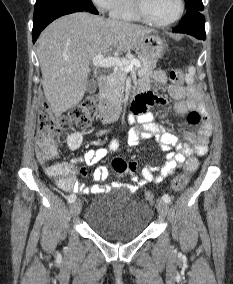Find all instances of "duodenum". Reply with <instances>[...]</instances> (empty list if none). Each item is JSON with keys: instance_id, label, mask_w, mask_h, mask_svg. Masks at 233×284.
<instances>
[{"instance_id": "1", "label": "duodenum", "mask_w": 233, "mask_h": 284, "mask_svg": "<svg viewBox=\"0 0 233 284\" xmlns=\"http://www.w3.org/2000/svg\"><path fill=\"white\" fill-rule=\"evenodd\" d=\"M98 84L101 91H104L108 85V76L105 74L99 75ZM138 96L136 97V99L138 98ZM121 111L122 108L120 106L113 105L102 100L98 108L97 117L103 123H113L118 120Z\"/></svg>"}]
</instances>
